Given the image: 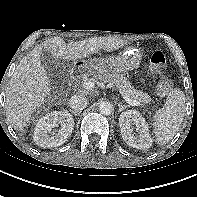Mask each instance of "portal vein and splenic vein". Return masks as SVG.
<instances>
[{"label":"portal vein and splenic vein","mask_w":197,"mask_h":197,"mask_svg":"<svg viewBox=\"0 0 197 197\" xmlns=\"http://www.w3.org/2000/svg\"><path fill=\"white\" fill-rule=\"evenodd\" d=\"M82 85H83L84 89L90 90V89L94 88L95 83L93 81H86ZM122 96H123V99L126 101V103H128L131 106H140L141 105V103L136 100H132L129 97L124 96V95H122Z\"/></svg>","instance_id":"obj_1"}]
</instances>
